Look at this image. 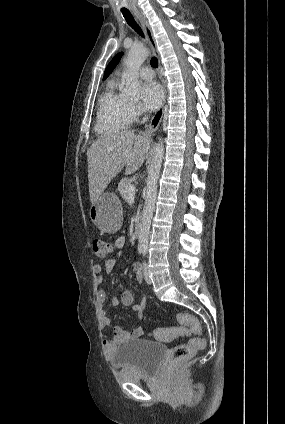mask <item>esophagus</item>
<instances>
[{"instance_id":"34e87169","label":"esophagus","mask_w":285,"mask_h":424,"mask_svg":"<svg viewBox=\"0 0 285 424\" xmlns=\"http://www.w3.org/2000/svg\"><path fill=\"white\" fill-rule=\"evenodd\" d=\"M134 15L137 17V19L142 24L144 31H145V34H146V37H147V41H148V43H149V45H150V47L153 51V54L158 58L159 67L161 68L159 51H158L157 44H156L152 29H151L149 23L147 22L145 17L142 14H140L138 11H135ZM160 77H161L162 87H163V102H162L161 107L157 110V112L151 118L149 124L146 126V129L144 131L145 135H151L159 128L160 123L162 121L163 114H164V106H165L166 93L167 92H166L165 81L162 77V74L160 75Z\"/></svg>"}]
</instances>
